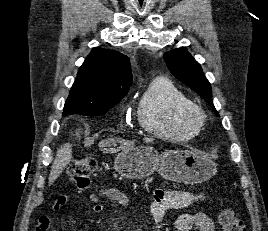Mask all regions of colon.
Here are the masks:
<instances>
[{
	"instance_id": "obj_1",
	"label": "colon",
	"mask_w": 268,
	"mask_h": 231,
	"mask_svg": "<svg viewBox=\"0 0 268 231\" xmlns=\"http://www.w3.org/2000/svg\"><path fill=\"white\" fill-rule=\"evenodd\" d=\"M97 167L95 160L81 158L68 164L67 172L74 185L78 189H85ZM219 223L223 231H246V227L234 212L228 208L223 209L219 214Z\"/></svg>"
}]
</instances>
